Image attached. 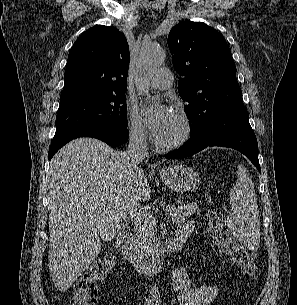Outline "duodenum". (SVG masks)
I'll use <instances>...</instances> for the list:
<instances>
[{
    "label": "duodenum",
    "mask_w": 297,
    "mask_h": 305,
    "mask_svg": "<svg viewBox=\"0 0 297 305\" xmlns=\"http://www.w3.org/2000/svg\"><path fill=\"white\" fill-rule=\"evenodd\" d=\"M191 233L188 228L179 229L174 236L167 239L153 255L144 257L137 252L128 226L121 225L119 227L116 243L123 255L135 268L143 273L154 274L162 270L166 254L180 249Z\"/></svg>",
    "instance_id": "duodenum-1"
}]
</instances>
